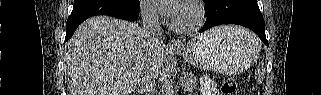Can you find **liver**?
Segmentation results:
<instances>
[{
  "label": "liver",
  "instance_id": "liver-1",
  "mask_svg": "<svg viewBox=\"0 0 321 95\" xmlns=\"http://www.w3.org/2000/svg\"><path fill=\"white\" fill-rule=\"evenodd\" d=\"M167 54L163 43L153 44L135 23L106 16L89 18L65 44L69 95H130L143 72L160 74Z\"/></svg>",
  "mask_w": 321,
  "mask_h": 95
}]
</instances>
